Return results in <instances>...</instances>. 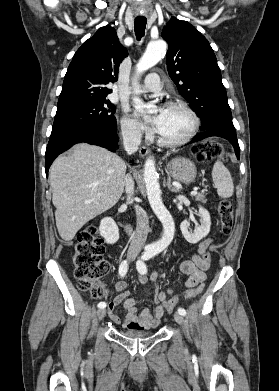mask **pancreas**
<instances>
[{
    "label": "pancreas",
    "instance_id": "cf45deb5",
    "mask_svg": "<svg viewBox=\"0 0 279 391\" xmlns=\"http://www.w3.org/2000/svg\"><path fill=\"white\" fill-rule=\"evenodd\" d=\"M195 199L198 200V201H201L202 203H206L207 200L205 199V195L204 194H198L195 196Z\"/></svg>",
    "mask_w": 279,
    "mask_h": 391
}]
</instances>
